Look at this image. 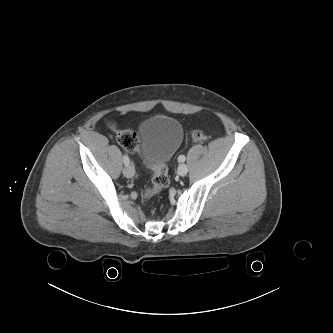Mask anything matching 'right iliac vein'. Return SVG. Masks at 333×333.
I'll return each instance as SVG.
<instances>
[{
    "mask_svg": "<svg viewBox=\"0 0 333 333\" xmlns=\"http://www.w3.org/2000/svg\"><path fill=\"white\" fill-rule=\"evenodd\" d=\"M123 174L127 177V178H132L135 175V169L134 166L132 164L126 166L123 169Z\"/></svg>",
    "mask_w": 333,
    "mask_h": 333,
    "instance_id": "right-iliac-vein-1",
    "label": "right iliac vein"
}]
</instances>
